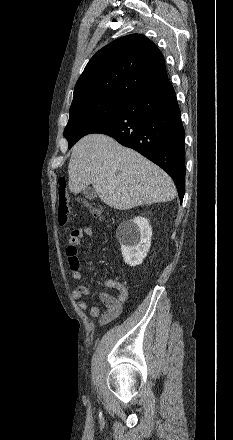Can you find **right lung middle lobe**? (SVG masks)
Masks as SVG:
<instances>
[{"mask_svg":"<svg viewBox=\"0 0 233 440\" xmlns=\"http://www.w3.org/2000/svg\"><path fill=\"white\" fill-rule=\"evenodd\" d=\"M127 102L116 98H89L72 103L70 118L64 130L69 148L83 136L108 123Z\"/></svg>","mask_w":233,"mask_h":440,"instance_id":"right-lung-middle-lobe-1","label":"right lung middle lobe"}]
</instances>
